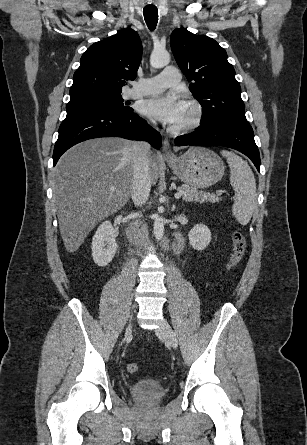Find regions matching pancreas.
Returning <instances> with one entry per match:
<instances>
[{"label": "pancreas", "instance_id": "1", "mask_svg": "<svg viewBox=\"0 0 307 445\" xmlns=\"http://www.w3.org/2000/svg\"><path fill=\"white\" fill-rule=\"evenodd\" d=\"M179 192H182L183 200H196V202H219L221 200L219 194H214V192H203V190H198L195 186H189V184H181L178 186Z\"/></svg>", "mask_w": 307, "mask_h": 445}]
</instances>
